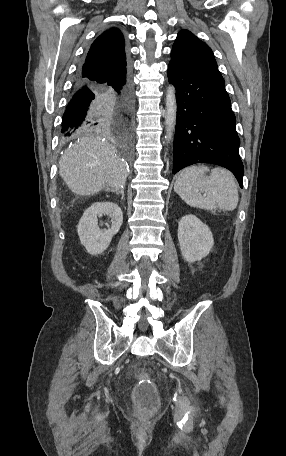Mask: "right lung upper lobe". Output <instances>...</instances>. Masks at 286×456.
Instances as JSON below:
<instances>
[{"label":"right lung upper lobe","mask_w":286,"mask_h":456,"mask_svg":"<svg viewBox=\"0 0 286 456\" xmlns=\"http://www.w3.org/2000/svg\"><path fill=\"white\" fill-rule=\"evenodd\" d=\"M124 45V37L119 29L104 31L91 45L81 67V74L89 75L101 83L110 78L126 76L128 65Z\"/></svg>","instance_id":"cb5924a9"}]
</instances>
